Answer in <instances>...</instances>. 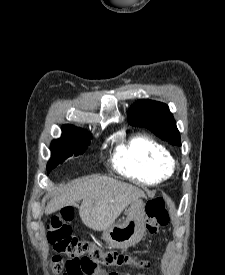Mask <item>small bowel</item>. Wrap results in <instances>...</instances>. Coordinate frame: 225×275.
<instances>
[{
	"mask_svg": "<svg viewBox=\"0 0 225 275\" xmlns=\"http://www.w3.org/2000/svg\"><path fill=\"white\" fill-rule=\"evenodd\" d=\"M97 275H109V273H107L105 270H99V272L97 273ZM124 275H129V274H124ZM137 275H143V274H137Z\"/></svg>",
	"mask_w": 225,
	"mask_h": 275,
	"instance_id": "c3829d8e",
	"label": "small bowel"
}]
</instances>
